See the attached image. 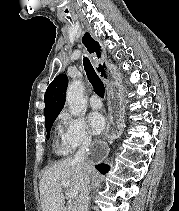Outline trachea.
Listing matches in <instances>:
<instances>
[{
    "mask_svg": "<svg viewBox=\"0 0 179 211\" xmlns=\"http://www.w3.org/2000/svg\"><path fill=\"white\" fill-rule=\"evenodd\" d=\"M84 67L86 71V75L88 77V80L92 84L94 91L100 96L104 97L105 93V87L103 82L100 80V78L97 76L96 72L94 71V68L92 67L90 61L88 58L83 59Z\"/></svg>",
    "mask_w": 179,
    "mask_h": 211,
    "instance_id": "1",
    "label": "trachea"
}]
</instances>
